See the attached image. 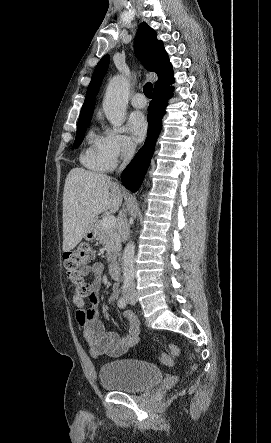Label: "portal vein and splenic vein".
Masks as SVG:
<instances>
[{"instance_id": "1", "label": "portal vein and splenic vein", "mask_w": 271, "mask_h": 443, "mask_svg": "<svg viewBox=\"0 0 271 443\" xmlns=\"http://www.w3.org/2000/svg\"><path fill=\"white\" fill-rule=\"evenodd\" d=\"M101 223L105 229H112L116 223V218H114V216H106Z\"/></svg>"}]
</instances>
